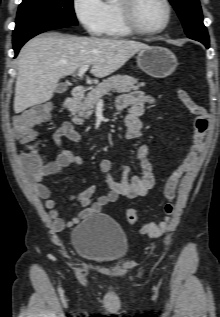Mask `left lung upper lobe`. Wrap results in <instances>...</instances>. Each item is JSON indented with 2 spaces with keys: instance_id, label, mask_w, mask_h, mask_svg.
I'll use <instances>...</instances> for the list:
<instances>
[{
  "instance_id": "5c2ea615",
  "label": "left lung upper lobe",
  "mask_w": 220,
  "mask_h": 317,
  "mask_svg": "<svg viewBox=\"0 0 220 317\" xmlns=\"http://www.w3.org/2000/svg\"><path fill=\"white\" fill-rule=\"evenodd\" d=\"M177 11L188 37L207 39L202 11L198 0H169Z\"/></svg>"
}]
</instances>
